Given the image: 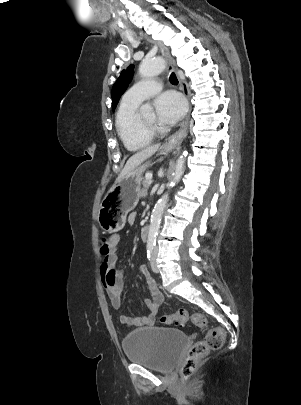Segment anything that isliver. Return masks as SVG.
I'll return each mask as SVG.
<instances>
[{
  "label": "liver",
  "mask_w": 301,
  "mask_h": 405,
  "mask_svg": "<svg viewBox=\"0 0 301 405\" xmlns=\"http://www.w3.org/2000/svg\"><path fill=\"white\" fill-rule=\"evenodd\" d=\"M160 148V144H154L148 146L141 151L137 152L133 156H131L128 161L126 162L123 170L119 174L116 179V182L121 181L127 174H129L133 169L138 167L141 163H143L146 159L152 156L157 150Z\"/></svg>",
  "instance_id": "1"
}]
</instances>
